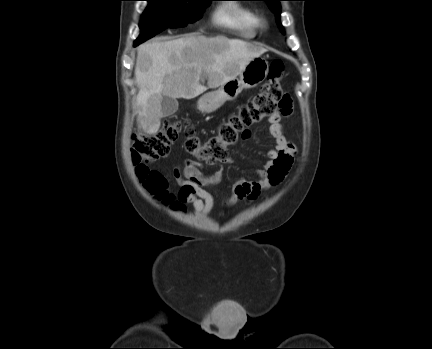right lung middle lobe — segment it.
<instances>
[{"instance_id":"dd1d6c3e","label":"right lung middle lobe","mask_w":432,"mask_h":349,"mask_svg":"<svg viewBox=\"0 0 432 349\" xmlns=\"http://www.w3.org/2000/svg\"><path fill=\"white\" fill-rule=\"evenodd\" d=\"M148 6L134 46L166 28L186 26L198 20L211 0H146Z\"/></svg>"}]
</instances>
